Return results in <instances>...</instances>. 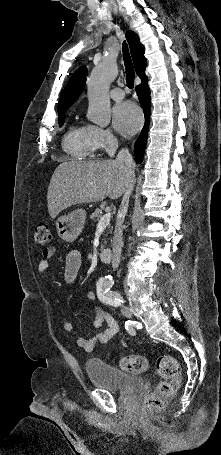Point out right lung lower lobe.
Returning a JSON list of instances; mask_svg holds the SVG:
<instances>
[{
	"label": "right lung lower lobe",
	"instance_id": "right-lung-lower-lobe-1",
	"mask_svg": "<svg viewBox=\"0 0 221 455\" xmlns=\"http://www.w3.org/2000/svg\"><path fill=\"white\" fill-rule=\"evenodd\" d=\"M142 83L136 87V92L138 94L139 100L141 105L144 108V115H145V125L134 144V152L136 157V162L141 163L144 157V151L147 142V135H148V127H149V118H150V90L148 87V79L146 75L142 78Z\"/></svg>",
	"mask_w": 221,
	"mask_h": 455
}]
</instances>
